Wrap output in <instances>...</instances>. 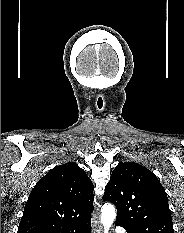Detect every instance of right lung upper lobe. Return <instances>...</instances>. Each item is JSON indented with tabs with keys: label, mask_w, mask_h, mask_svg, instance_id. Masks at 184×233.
Returning <instances> with one entry per match:
<instances>
[{
	"label": "right lung upper lobe",
	"mask_w": 184,
	"mask_h": 233,
	"mask_svg": "<svg viewBox=\"0 0 184 233\" xmlns=\"http://www.w3.org/2000/svg\"><path fill=\"white\" fill-rule=\"evenodd\" d=\"M94 186L69 162L50 170L33 188L17 233H54L91 218Z\"/></svg>",
	"instance_id": "obj_1"
}]
</instances>
